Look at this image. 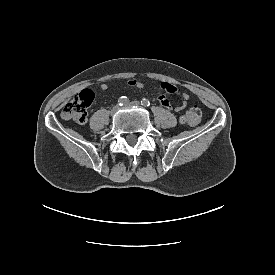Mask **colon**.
Listing matches in <instances>:
<instances>
[{
	"instance_id": "1",
	"label": "colon",
	"mask_w": 275,
	"mask_h": 275,
	"mask_svg": "<svg viewBox=\"0 0 275 275\" xmlns=\"http://www.w3.org/2000/svg\"><path fill=\"white\" fill-rule=\"evenodd\" d=\"M95 93L91 89H84L75 98L66 104L61 115L64 119L71 120L79 125L87 121V108L93 102ZM202 117V109L199 104H193L181 117V122L188 126L197 125Z\"/></svg>"
}]
</instances>
